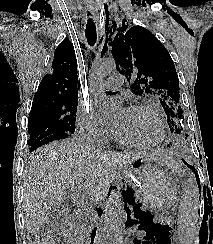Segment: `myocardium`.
I'll return each mask as SVG.
<instances>
[{
    "label": "myocardium",
    "mask_w": 213,
    "mask_h": 244,
    "mask_svg": "<svg viewBox=\"0 0 213 244\" xmlns=\"http://www.w3.org/2000/svg\"><path fill=\"white\" fill-rule=\"evenodd\" d=\"M127 110H146L150 112L156 119L157 123L159 124L161 135L157 141L152 143L135 142L123 138L114 127L113 135L115 139L123 145L134 147V148L150 149L159 146L163 142L166 136V129H165L164 122L161 119L158 111L153 106L149 104H143V103L132 104L127 108Z\"/></svg>",
    "instance_id": "myocardium-1"
}]
</instances>
